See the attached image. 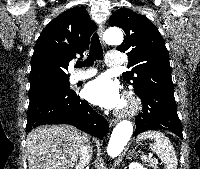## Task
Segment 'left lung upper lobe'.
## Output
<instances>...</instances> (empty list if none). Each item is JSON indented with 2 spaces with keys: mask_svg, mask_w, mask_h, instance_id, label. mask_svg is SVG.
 I'll use <instances>...</instances> for the list:
<instances>
[{
  "mask_svg": "<svg viewBox=\"0 0 200 169\" xmlns=\"http://www.w3.org/2000/svg\"><path fill=\"white\" fill-rule=\"evenodd\" d=\"M109 23L122 28L126 34L117 50L128 51L127 67L132 70L122 76L133 85L135 93L140 96L148 89L173 93L169 55L155 25L146 16L126 8L115 11Z\"/></svg>",
  "mask_w": 200,
  "mask_h": 169,
  "instance_id": "5c2ea615",
  "label": "left lung upper lobe"
}]
</instances>
